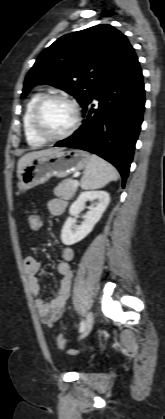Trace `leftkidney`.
<instances>
[{
    "mask_svg": "<svg viewBox=\"0 0 165 419\" xmlns=\"http://www.w3.org/2000/svg\"><path fill=\"white\" fill-rule=\"evenodd\" d=\"M93 207H90L85 215V221L81 225H75V219L72 216L77 215L85 208L87 201H94ZM110 196L106 191H84L78 196L77 200L70 206V217L64 223L61 232V240L65 245H72L83 240L100 220L102 214L108 207Z\"/></svg>",
    "mask_w": 165,
    "mask_h": 419,
    "instance_id": "1",
    "label": "left kidney"
}]
</instances>
